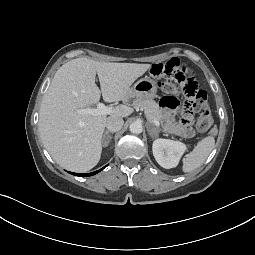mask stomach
Returning a JSON list of instances; mask_svg holds the SVG:
<instances>
[{
  "label": "stomach",
  "instance_id": "1",
  "mask_svg": "<svg viewBox=\"0 0 255 255\" xmlns=\"http://www.w3.org/2000/svg\"><path fill=\"white\" fill-rule=\"evenodd\" d=\"M156 82L149 77L138 80L131 88V96L135 100H150L156 96Z\"/></svg>",
  "mask_w": 255,
  "mask_h": 255
}]
</instances>
